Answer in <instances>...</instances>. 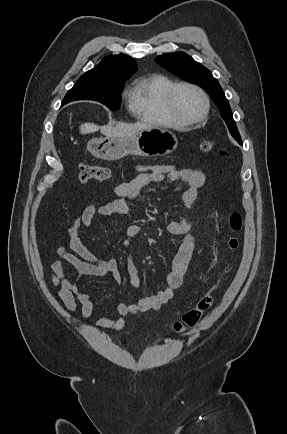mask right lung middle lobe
Masks as SVG:
<instances>
[{
    "label": "right lung middle lobe",
    "mask_w": 287,
    "mask_h": 434,
    "mask_svg": "<svg viewBox=\"0 0 287 434\" xmlns=\"http://www.w3.org/2000/svg\"><path fill=\"white\" fill-rule=\"evenodd\" d=\"M125 81L96 80L80 78L67 92L62 105L75 100H94L116 111L121 105V92Z\"/></svg>",
    "instance_id": "obj_1"
}]
</instances>
